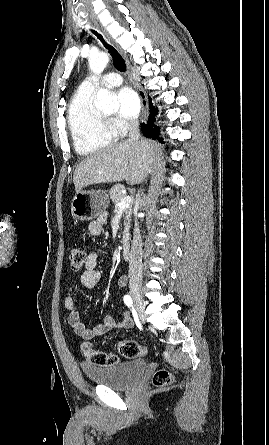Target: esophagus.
I'll return each mask as SVG.
<instances>
[{
  "mask_svg": "<svg viewBox=\"0 0 269 445\" xmlns=\"http://www.w3.org/2000/svg\"><path fill=\"white\" fill-rule=\"evenodd\" d=\"M91 20L93 22V24L95 25V27L104 35V37L106 38V40L111 43L112 45H114L116 48H118V46L116 45V43L114 42V40L112 39V37L109 35V33L107 32L106 28L101 24L100 20L98 19V17L92 15L91 16ZM125 57V56H124ZM125 61H126V65H127V70H128V74L131 77V69H130V63L127 60V58L125 57ZM131 81L133 82V85L135 86V88L138 90V93L140 95L141 98V110H142V119L143 122L147 121V117H148V103H147V96L146 93L144 92V90L139 86V84L134 81L131 77Z\"/></svg>",
  "mask_w": 269,
  "mask_h": 445,
  "instance_id": "esophagus-1",
  "label": "esophagus"
}]
</instances>
